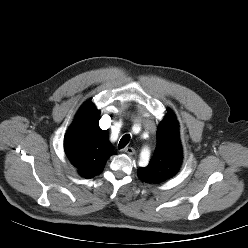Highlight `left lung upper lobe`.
<instances>
[{
    "label": "left lung upper lobe",
    "instance_id": "obj_1",
    "mask_svg": "<svg viewBox=\"0 0 248 248\" xmlns=\"http://www.w3.org/2000/svg\"><path fill=\"white\" fill-rule=\"evenodd\" d=\"M182 163V147L178 122L171 110L157 130V145L146 167L138 169L139 178L146 183H159L175 176Z\"/></svg>",
    "mask_w": 248,
    "mask_h": 248
}]
</instances>
